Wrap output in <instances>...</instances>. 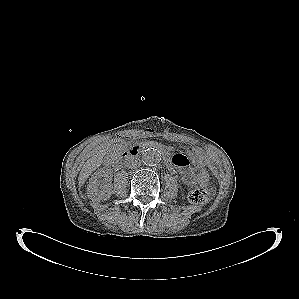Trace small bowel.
<instances>
[{"label": "small bowel", "mask_w": 299, "mask_h": 299, "mask_svg": "<svg viewBox=\"0 0 299 299\" xmlns=\"http://www.w3.org/2000/svg\"><path fill=\"white\" fill-rule=\"evenodd\" d=\"M170 166L179 169L182 179L187 185L195 183L194 173L189 167L188 159L182 154H175L170 160Z\"/></svg>", "instance_id": "obj_1"}]
</instances>
